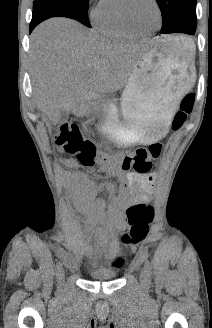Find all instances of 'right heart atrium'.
I'll list each match as a JSON object with an SVG mask.
<instances>
[{
	"mask_svg": "<svg viewBox=\"0 0 212 328\" xmlns=\"http://www.w3.org/2000/svg\"><path fill=\"white\" fill-rule=\"evenodd\" d=\"M94 0H91V2H93ZM104 0H99L98 4L96 7H94L91 12H90V15H91V18L93 20H95L96 16L98 15L99 13V10H100V7H101V4Z\"/></svg>",
	"mask_w": 212,
	"mask_h": 328,
	"instance_id": "1",
	"label": "right heart atrium"
}]
</instances>
